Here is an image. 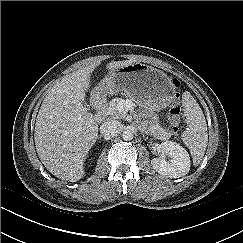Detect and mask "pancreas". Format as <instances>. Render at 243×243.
<instances>
[{
    "label": "pancreas",
    "mask_w": 243,
    "mask_h": 243,
    "mask_svg": "<svg viewBox=\"0 0 243 243\" xmlns=\"http://www.w3.org/2000/svg\"><path fill=\"white\" fill-rule=\"evenodd\" d=\"M126 100L116 97L109 102L108 107L105 109V113L113 119H122L126 116V111H121L118 109L120 103L125 102ZM149 133L154 137L166 140L171 137V133L163 129L158 123L151 125L149 127Z\"/></svg>",
    "instance_id": "cf45deb5"
}]
</instances>
